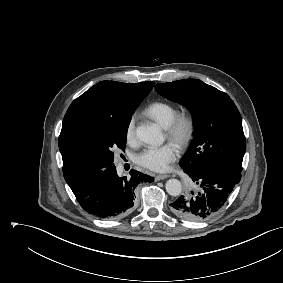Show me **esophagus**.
I'll list each match as a JSON object with an SVG mask.
<instances>
[{"mask_svg":"<svg viewBox=\"0 0 283 283\" xmlns=\"http://www.w3.org/2000/svg\"><path fill=\"white\" fill-rule=\"evenodd\" d=\"M168 177H169V176L166 175V174H159V175H156V176H155V180H156V181H159V180L166 179V178H168Z\"/></svg>","mask_w":283,"mask_h":283,"instance_id":"obj_1","label":"esophagus"}]
</instances>
